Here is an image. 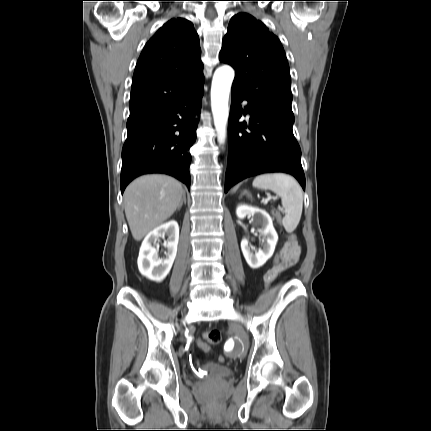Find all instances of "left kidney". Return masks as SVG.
Segmentation results:
<instances>
[{
    "instance_id": "obj_1",
    "label": "left kidney",
    "mask_w": 431,
    "mask_h": 431,
    "mask_svg": "<svg viewBox=\"0 0 431 431\" xmlns=\"http://www.w3.org/2000/svg\"><path fill=\"white\" fill-rule=\"evenodd\" d=\"M236 215L239 219H244L246 216L253 217L254 223L259 227V232L263 235L262 248L255 253L251 252L246 238L241 241V250L246 262L251 268L257 269L272 257L278 241L272 218L265 210L245 204H240L237 207Z\"/></svg>"
}]
</instances>
